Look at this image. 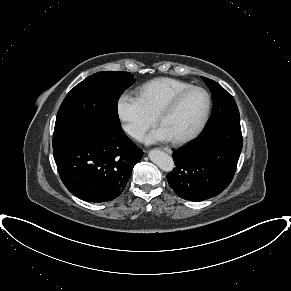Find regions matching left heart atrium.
I'll return each mask as SVG.
<instances>
[{
	"label": "left heart atrium",
	"mask_w": 291,
	"mask_h": 291,
	"mask_svg": "<svg viewBox=\"0 0 291 291\" xmlns=\"http://www.w3.org/2000/svg\"><path fill=\"white\" fill-rule=\"evenodd\" d=\"M172 140L167 132L162 128L154 130L151 134L146 137V142L153 143L157 141H170Z\"/></svg>",
	"instance_id": "39dd6f15"
}]
</instances>
